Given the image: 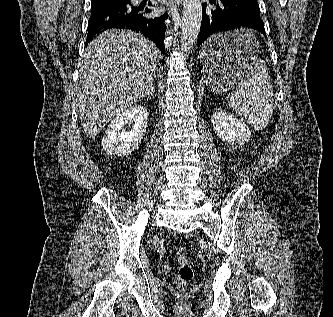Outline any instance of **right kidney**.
Wrapping results in <instances>:
<instances>
[{
	"label": "right kidney",
	"instance_id": "obj_1",
	"mask_svg": "<svg viewBox=\"0 0 333 317\" xmlns=\"http://www.w3.org/2000/svg\"><path fill=\"white\" fill-rule=\"evenodd\" d=\"M148 112L142 105H135L118 114L108 125L102 138L107 154L126 156L141 143L147 129ZM134 122L131 129L125 128Z\"/></svg>",
	"mask_w": 333,
	"mask_h": 317
}]
</instances>
